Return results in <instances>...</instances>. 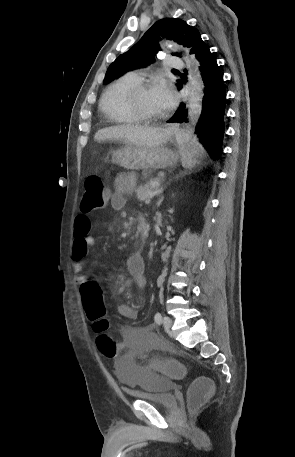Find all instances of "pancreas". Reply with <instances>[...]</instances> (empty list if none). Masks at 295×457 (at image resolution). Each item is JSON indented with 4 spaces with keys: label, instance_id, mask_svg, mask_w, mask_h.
I'll use <instances>...</instances> for the list:
<instances>
[{
    "label": "pancreas",
    "instance_id": "pancreas-1",
    "mask_svg": "<svg viewBox=\"0 0 295 457\" xmlns=\"http://www.w3.org/2000/svg\"><path fill=\"white\" fill-rule=\"evenodd\" d=\"M154 182H159V179H152L144 186H140L135 190V193L140 201H143L145 203L150 202L151 198L155 195V191L157 189L152 186Z\"/></svg>",
    "mask_w": 295,
    "mask_h": 457
}]
</instances>
